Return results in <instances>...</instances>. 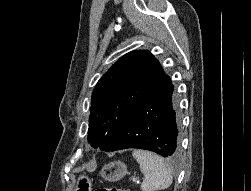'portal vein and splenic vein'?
Segmentation results:
<instances>
[{
	"label": "portal vein and splenic vein",
	"instance_id": "portal-vein-and-splenic-vein-1",
	"mask_svg": "<svg viewBox=\"0 0 251 191\" xmlns=\"http://www.w3.org/2000/svg\"><path fill=\"white\" fill-rule=\"evenodd\" d=\"M136 181H137V183H138V179H136V177H133V179L131 180V183H132V184H135Z\"/></svg>",
	"mask_w": 251,
	"mask_h": 191
}]
</instances>
